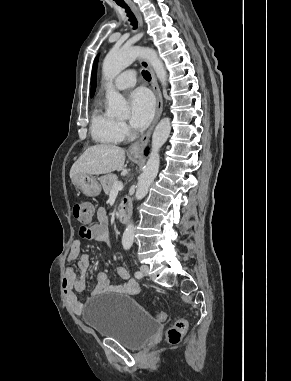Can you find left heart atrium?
I'll use <instances>...</instances> for the list:
<instances>
[{"label": "left heart atrium", "instance_id": "1", "mask_svg": "<svg viewBox=\"0 0 291 381\" xmlns=\"http://www.w3.org/2000/svg\"><path fill=\"white\" fill-rule=\"evenodd\" d=\"M130 124L133 128L144 129L152 120L155 103L150 92L136 89L130 96Z\"/></svg>", "mask_w": 291, "mask_h": 381}]
</instances>
